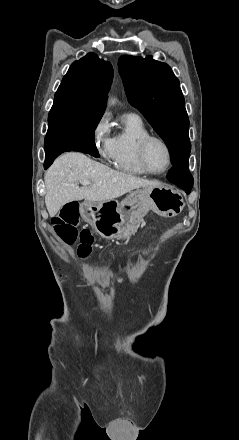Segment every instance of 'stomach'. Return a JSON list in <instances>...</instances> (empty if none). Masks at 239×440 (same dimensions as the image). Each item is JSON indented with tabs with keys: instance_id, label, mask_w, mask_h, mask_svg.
Listing matches in <instances>:
<instances>
[{
	"instance_id": "stomach-1",
	"label": "stomach",
	"mask_w": 239,
	"mask_h": 440,
	"mask_svg": "<svg viewBox=\"0 0 239 440\" xmlns=\"http://www.w3.org/2000/svg\"><path fill=\"white\" fill-rule=\"evenodd\" d=\"M185 202L176 190L170 188H142L132 190L122 202L105 200L80 204V216L91 224L95 232L106 240H124L137 232L140 222L149 210L163 218L181 214Z\"/></svg>"
}]
</instances>
